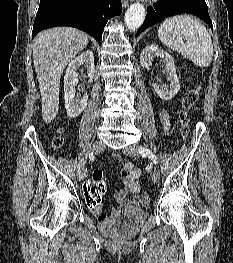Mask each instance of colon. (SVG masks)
I'll return each mask as SVG.
<instances>
[{
	"label": "colon",
	"instance_id": "1",
	"mask_svg": "<svg viewBox=\"0 0 233 263\" xmlns=\"http://www.w3.org/2000/svg\"><path fill=\"white\" fill-rule=\"evenodd\" d=\"M200 91L201 86L197 85L192 90H190L183 98L182 109L179 113V119L181 123V134L184 138H186L189 133V110L196 104L200 95ZM62 144L63 139L60 134H57L52 140V145L55 148H59L62 146ZM91 175V178L85 179V208H96L106 191V184L103 180L105 172L103 171V169H93ZM140 203L142 206L145 207L149 205V197L147 194H143L140 197Z\"/></svg>",
	"mask_w": 233,
	"mask_h": 263
}]
</instances>
